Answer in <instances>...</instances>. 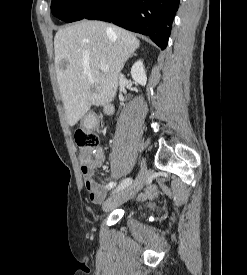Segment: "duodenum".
Returning <instances> with one entry per match:
<instances>
[{
	"label": "duodenum",
	"instance_id": "1",
	"mask_svg": "<svg viewBox=\"0 0 247 275\" xmlns=\"http://www.w3.org/2000/svg\"><path fill=\"white\" fill-rule=\"evenodd\" d=\"M112 110H113V107H112L111 104H107V105L105 106V113H106V114H110V113L112 112Z\"/></svg>",
	"mask_w": 247,
	"mask_h": 275
}]
</instances>
